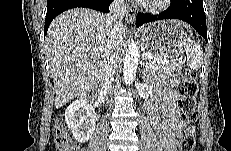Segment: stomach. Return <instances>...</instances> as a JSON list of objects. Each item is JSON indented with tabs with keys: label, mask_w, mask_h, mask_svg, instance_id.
<instances>
[{
	"label": "stomach",
	"mask_w": 231,
	"mask_h": 151,
	"mask_svg": "<svg viewBox=\"0 0 231 151\" xmlns=\"http://www.w3.org/2000/svg\"><path fill=\"white\" fill-rule=\"evenodd\" d=\"M141 33L143 48L153 55L176 58L184 51L181 37L186 34L176 20L153 22Z\"/></svg>",
	"instance_id": "0dacf381"
}]
</instances>
